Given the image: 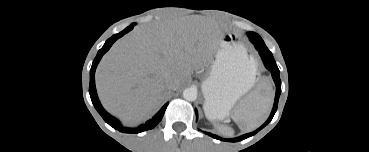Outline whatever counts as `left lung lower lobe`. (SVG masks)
<instances>
[{
	"instance_id": "obj_1",
	"label": "left lung lower lobe",
	"mask_w": 369,
	"mask_h": 152,
	"mask_svg": "<svg viewBox=\"0 0 369 152\" xmlns=\"http://www.w3.org/2000/svg\"><path fill=\"white\" fill-rule=\"evenodd\" d=\"M249 38H250L251 42L254 44V46L256 47V49L258 50V52H259V54H260V56L263 60V63L265 65V67L268 70L271 71L272 77H273L274 82L276 84V96H275L273 109H272V112H271L270 117L268 118V120L260 128H258L256 131H254L252 133L245 134V135L240 136L238 138L223 139V138H220V137H218L216 135H213L211 133L205 132L207 135L212 136L213 138L218 139V140L236 142V141L246 139V138L256 134L258 131H260L263 127H265L272 120V118H273V116H274V114L277 110L278 100H279V96H280V93H281V81H280V77H279V69L276 65V62L273 58L272 53L268 50V48L266 47V45H265L264 41L262 40V38L261 37H249ZM196 117L198 119L197 111H196Z\"/></svg>"
}]
</instances>
